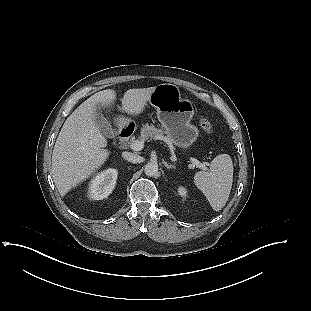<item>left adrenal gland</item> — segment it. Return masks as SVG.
Returning <instances> with one entry per match:
<instances>
[{"label": "left adrenal gland", "instance_id": "a2214340", "mask_svg": "<svg viewBox=\"0 0 311 311\" xmlns=\"http://www.w3.org/2000/svg\"><path fill=\"white\" fill-rule=\"evenodd\" d=\"M165 166L167 167V169H175L176 168L174 165H172L171 163H167V162H165Z\"/></svg>", "mask_w": 311, "mask_h": 311}]
</instances>
